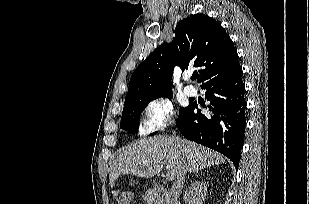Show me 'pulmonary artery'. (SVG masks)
Segmentation results:
<instances>
[{"instance_id":"obj_1","label":"pulmonary artery","mask_w":309,"mask_h":204,"mask_svg":"<svg viewBox=\"0 0 309 204\" xmlns=\"http://www.w3.org/2000/svg\"><path fill=\"white\" fill-rule=\"evenodd\" d=\"M184 92L188 96H193L196 94V88L192 85H187L184 87Z\"/></svg>"}]
</instances>
